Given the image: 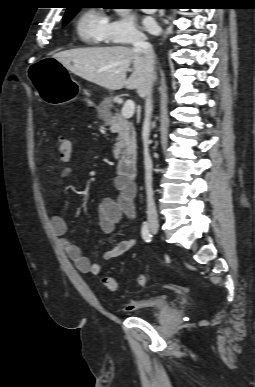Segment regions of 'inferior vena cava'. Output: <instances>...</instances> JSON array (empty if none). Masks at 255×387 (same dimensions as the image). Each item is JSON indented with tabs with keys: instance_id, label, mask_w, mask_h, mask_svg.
I'll use <instances>...</instances> for the list:
<instances>
[{
	"instance_id": "inferior-vena-cava-1",
	"label": "inferior vena cava",
	"mask_w": 255,
	"mask_h": 387,
	"mask_svg": "<svg viewBox=\"0 0 255 387\" xmlns=\"http://www.w3.org/2000/svg\"><path fill=\"white\" fill-rule=\"evenodd\" d=\"M134 49L140 52L144 57L146 84L138 93L145 98V119L143 124V144H144V165H145V185L147 194V219L149 222H157V211L153 197L152 189V160L149 154V133L150 120L153 110L152 87L155 80L154 72V51L152 45L146 42L144 37H137L133 42Z\"/></svg>"
}]
</instances>
